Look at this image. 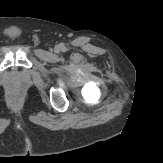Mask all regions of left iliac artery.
<instances>
[{"instance_id":"44dca946","label":"left iliac artery","mask_w":163,"mask_h":163,"mask_svg":"<svg viewBox=\"0 0 163 163\" xmlns=\"http://www.w3.org/2000/svg\"><path fill=\"white\" fill-rule=\"evenodd\" d=\"M66 50V48L65 47H62V51H65Z\"/></svg>"}]
</instances>
